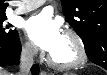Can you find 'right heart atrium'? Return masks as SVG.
<instances>
[{
    "label": "right heart atrium",
    "mask_w": 107,
    "mask_h": 75,
    "mask_svg": "<svg viewBox=\"0 0 107 75\" xmlns=\"http://www.w3.org/2000/svg\"><path fill=\"white\" fill-rule=\"evenodd\" d=\"M22 52L26 57H32L36 53V47L31 41L26 40L22 44Z\"/></svg>",
    "instance_id": "obj_1"
}]
</instances>
